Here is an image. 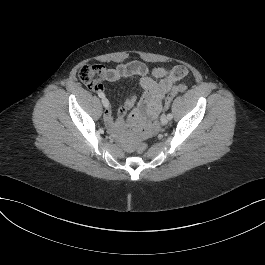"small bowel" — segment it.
Returning a JSON list of instances; mask_svg holds the SVG:
<instances>
[{
	"label": "small bowel",
	"instance_id": "small-bowel-1",
	"mask_svg": "<svg viewBox=\"0 0 265 265\" xmlns=\"http://www.w3.org/2000/svg\"><path fill=\"white\" fill-rule=\"evenodd\" d=\"M102 68V78L114 82L121 78L139 77L142 88V96L138 106L134 108L129 119L132 123L143 121L145 123L154 120L162 109V103L170 90L187 75V69L183 65H176L171 69L157 67L151 73L148 67L140 61L129 63H118L112 68ZM93 91L104 92L101 84L90 86ZM136 96L130 95L123 102L118 111V118L114 120L110 110L104 113V121L107 127L112 130H118L124 125L125 117L128 111L134 106Z\"/></svg>",
	"mask_w": 265,
	"mask_h": 265
}]
</instances>
